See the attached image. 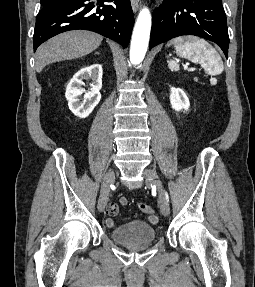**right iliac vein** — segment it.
<instances>
[{"instance_id":"obj_1","label":"right iliac vein","mask_w":255,"mask_h":287,"mask_svg":"<svg viewBox=\"0 0 255 287\" xmlns=\"http://www.w3.org/2000/svg\"><path fill=\"white\" fill-rule=\"evenodd\" d=\"M114 180H115V173L114 171L111 170L106 174L101 186V193L98 201V210L100 212H102L105 209L108 203L110 186L113 184Z\"/></svg>"}]
</instances>
